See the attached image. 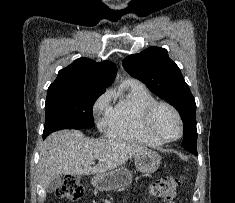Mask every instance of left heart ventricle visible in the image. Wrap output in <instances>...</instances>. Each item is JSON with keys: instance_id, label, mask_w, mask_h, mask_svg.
I'll use <instances>...</instances> for the list:
<instances>
[{"instance_id": "left-heart-ventricle-1", "label": "left heart ventricle", "mask_w": 235, "mask_h": 203, "mask_svg": "<svg viewBox=\"0 0 235 203\" xmlns=\"http://www.w3.org/2000/svg\"><path fill=\"white\" fill-rule=\"evenodd\" d=\"M152 130L163 138H174L179 133L175 115L166 107L159 108L152 120Z\"/></svg>"}]
</instances>
